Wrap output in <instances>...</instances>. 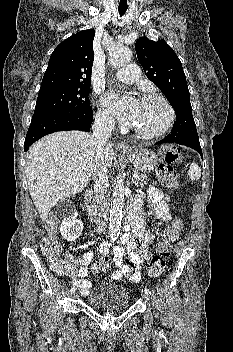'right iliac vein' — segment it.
Returning <instances> with one entry per match:
<instances>
[{
    "instance_id": "1",
    "label": "right iliac vein",
    "mask_w": 233,
    "mask_h": 352,
    "mask_svg": "<svg viewBox=\"0 0 233 352\" xmlns=\"http://www.w3.org/2000/svg\"><path fill=\"white\" fill-rule=\"evenodd\" d=\"M72 294H73V296H74V297H76V293H75V292H74V293H72Z\"/></svg>"
}]
</instances>
